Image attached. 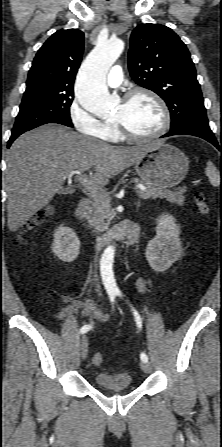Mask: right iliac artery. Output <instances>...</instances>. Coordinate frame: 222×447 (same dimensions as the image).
Instances as JSON below:
<instances>
[{"mask_svg":"<svg viewBox=\"0 0 222 447\" xmlns=\"http://www.w3.org/2000/svg\"><path fill=\"white\" fill-rule=\"evenodd\" d=\"M109 297H110L111 302H114L115 294L110 292ZM90 329H92L91 325H84L81 327L80 333L84 334V333L88 332Z\"/></svg>","mask_w":222,"mask_h":447,"instance_id":"obj_1","label":"right iliac artery"}]
</instances>
